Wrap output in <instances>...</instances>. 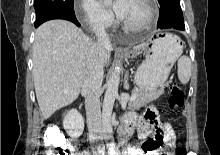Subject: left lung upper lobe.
I'll return each instance as SVG.
<instances>
[{
    "label": "left lung upper lobe",
    "instance_id": "left-lung-upper-lobe-1",
    "mask_svg": "<svg viewBox=\"0 0 220 155\" xmlns=\"http://www.w3.org/2000/svg\"><path fill=\"white\" fill-rule=\"evenodd\" d=\"M160 5L171 3V2H180V0H158Z\"/></svg>",
    "mask_w": 220,
    "mask_h": 155
}]
</instances>
